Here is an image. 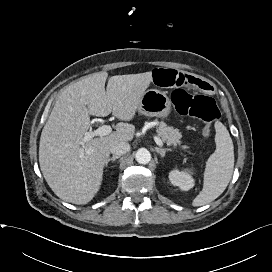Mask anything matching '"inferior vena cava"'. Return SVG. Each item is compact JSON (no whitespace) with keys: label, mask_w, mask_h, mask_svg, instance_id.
Instances as JSON below:
<instances>
[{"label":"inferior vena cava","mask_w":272,"mask_h":272,"mask_svg":"<svg viewBox=\"0 0 272 272\" xmlns=\"http://www.w3.org/2000/svg\"><path fill=\"white\" fill-rule=\"evenodd\" d=\"M129 150H130V144L127 142L114 143L110 148V152L116 156H121L123 154H126Z\"/></svg>","instance_id":"602c4592"}]
</instances>
